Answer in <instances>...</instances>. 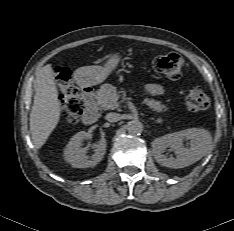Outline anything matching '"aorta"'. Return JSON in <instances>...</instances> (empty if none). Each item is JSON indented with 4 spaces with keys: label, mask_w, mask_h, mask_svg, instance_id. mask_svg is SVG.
<instances>
[{
    "label": "aorta",
    "mask_w": 234,
    "mask_h": 231,
    "mask_svg": "<svg viewBox=\"0 0 234 231\" xmlns=\"http://www.w3.org/2000/svg\"><path fill=\"white\" fill-rule=\"evenodd\" d=\"M127 130L131 135H140L143 131V124L139 120H132L127 124Z\"/></svg>",
    "instance_id": "1"
}]
</instances>
